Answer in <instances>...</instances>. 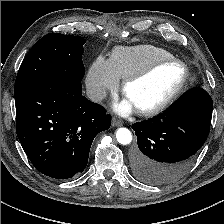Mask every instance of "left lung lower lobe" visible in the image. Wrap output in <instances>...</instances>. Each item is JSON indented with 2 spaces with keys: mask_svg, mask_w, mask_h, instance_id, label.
Here are the masks:
<instances>
[{
  "mask_svg": "<svg viewBox=\"0 0 224 224\" xmlns=\"http://www.w3.org/2000/svg\"><path fill=\"white\" fill-rule=\"evenodd\" d=\"M212 108L210 95L194 88L161 114L133 124L139 148L133 156L135 176L149 184L180 178L209 135Z\"/></svg>",
  "mask_w": 224,
  "mask_h": 224,
  "instance_id": "left-lung-lower-lobe-1",
  "label": "left lung lower lobe"
}]
</instances>
